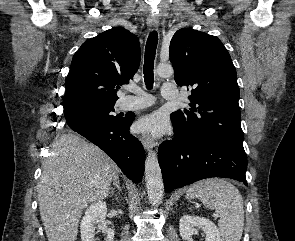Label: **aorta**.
Masks as SVG:
<instances>
[{"label":"aorta","mask_w":295,"mask_h":241,"mask_svg":"<svg viewBox=\"0 0 295 241\" xmlns=\"http://www.w3.org/2000/svg\"><path fill=\"white\" fill-rule=\"evenodd\" d=\"M156 73L163 78L171 77L173 67L170 64H159ZM145 181L150 203L160 204L164 195V184L157 154L154 151H149L145 160Z\"/></svg>","instance_id":"obj_1"}]
</instances>
